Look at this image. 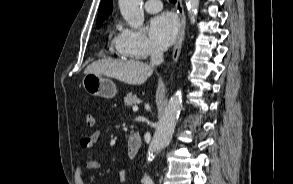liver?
<instances>
[{
    "instance_id": "1",
    "label": "liver",
    "mask_w": 293,
    "mask_h": 184,
    "mask_svg": "<svg viewBox=\"0 0 293 184\" xmlns=\"http://www.w3.org/2000/svg\"><path fill=\"white\" fill-rule=\"evenodd\" d=\"M84 73L105 75L130 85H141L152 75L153 67L133 59H102L88 65Z\"/></svg>"
}]
</instances>
